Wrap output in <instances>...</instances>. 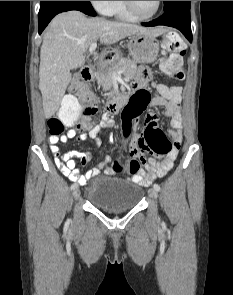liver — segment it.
<instances>
[{
  "instance_id": "liver-1",
  "label": "liver",
  "mask_w": 233,
  "mask_h": 295,
  "mask_svg": "<svg viewBox=\"0 0 233 295\" xmlns=\"http://www.w3.org/2000/svg\"><path fill=\"white\" fill-rule=\"evenodd\" d=\"M163 32L162 28L87 18L76 10L58 14L45 30L40 49L39 90L45 118H51L58 110L71 81V70L84 66L85 53L92 43L100 40L110 45L131 35L155 37Z\"/></svg>"
}]
</instances>
